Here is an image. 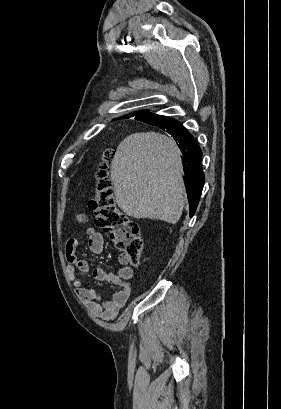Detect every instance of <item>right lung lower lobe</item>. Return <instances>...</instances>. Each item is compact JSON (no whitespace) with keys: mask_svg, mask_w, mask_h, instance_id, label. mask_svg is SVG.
<instances>
[{"mask_svg":"<svg viewBox=\"0 0 281 409\" xmlns=\"http://www.w3.org/2000/svg\"><path fill=\"white\" fill-rule=\"evenodd\" d=\"M158 117V115L141 113L135 119L146 122L149 119ZM171 134L178 143L184 160L183 168L187 182V196L189 201L190 216L196 211L199 199L204 186V173L201 166L202 151L196 144L193 136L179 122L167 126L165 129Z\"/></svg>","mask_w":281,"mask_h":409,"instance_id":"right-lung-lower-lobe-1","label":"right lung lower lobe"}]
</instances>
